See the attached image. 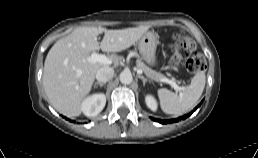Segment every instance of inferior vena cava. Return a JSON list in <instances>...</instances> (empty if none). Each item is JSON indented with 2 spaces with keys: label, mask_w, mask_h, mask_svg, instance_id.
Listing matches in <instances>:
<instances>
[{
  "label": "inferior vena cava",
  "mask_w": 258,
  "mask_h": 158,
  "mask_svg": "<svg viewBox=\"0 0 258 158\" xmlns=\"http://www.w3.org/2000/svg\"><path fill=\"white\" fill-rule=\"evenodd\" d=\"M114 76V69L111 67H102L96 73V79L100 83H106L110 81Z\"/></svg>",
  "instance_id": "602c4592"
}]
</instances>
